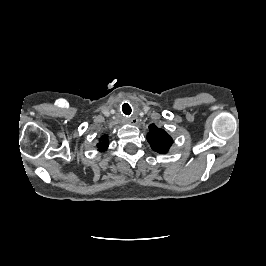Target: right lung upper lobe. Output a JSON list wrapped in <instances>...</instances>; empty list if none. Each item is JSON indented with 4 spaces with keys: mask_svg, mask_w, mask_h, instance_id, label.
I'll return each instance as SVG.
<instances>
[{
    "mask_svg": "<svg viewBox=\"0 0 266 266\" xmlns=\"http://www.w3.org/2000/svg\"><path fill=\"white\" fill-rule=\"evenodd\" d=\"M108 146H109L108 140L106 139L105 136H102L101 142L99 144H97L99 151H102V152L106 151Z\"/></svg>",
    "mask_w": 266,
    "mask_h": 266,
    "instance_id": "1",
    "label": "right lung upper lobe"
}]
</instances>
